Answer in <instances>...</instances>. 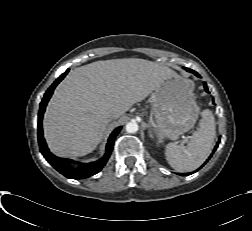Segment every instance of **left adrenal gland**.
Wrapping results in <instances>:
<instances>
[{
  "label": "left adrenal gland",
  "instance_id": "a2214340",
  "mask_svg": "<svg viewBox=\"0 0 252 231\" xmlns=\"http://www.w3.org/2000/svg\"><path fill=\"white\" fill-rule=\"evenodd\" d=\"M147 127H148L149 136L152 137V130H151V128H150V125H148Z\"/></svg>",
  "mask_w": 252,
  "mask_h": 231
}]
</instances>
